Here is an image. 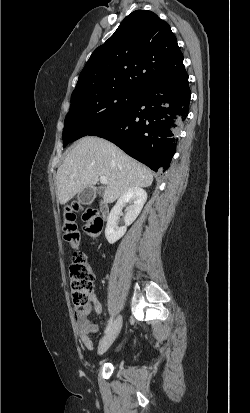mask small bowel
<instances>
[{
    "instance_id": "obj_1",
    "label": "small bowel",
    "mask_w": 250,
    "mask_h": 413,
    "mask_svg": "<svg viewBox=\"0 0 250 413\" xmlns=\"http://www.w3.org/2000/svg\"><path fill=\"white\" fill-rule=\"evenodd\" d=\"M102 305L98 301L95 292L91 294V302L87 307L77 309L74 313L76 329L82 344L88 349H93L91 335L97 332V325L92 320V313L99 315Z\"/></svg>"
}]
</instances>
